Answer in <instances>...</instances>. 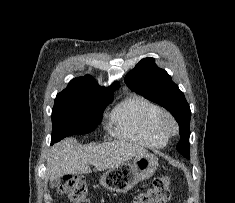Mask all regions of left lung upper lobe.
Masks as SVG:
<instances>
[{"label": "left lung upper lobe", "instance_id": "1", "mask_svg": "<svg viewBox=\"0 0 235 203\" xmlns=\"http://www.w3.org/2000/svg\"><path fill=\"white\" fill-rule=\"evenodd\" d=\"M131 90L166 108L175 117L180 128L181 140L177 150L190 158L189 136L191 111L184 94L171 76L157 67L153 58L142 59L125 77Z\"/></svg>", "mask_w": 235, "mask_h": 203}]
</instances>
